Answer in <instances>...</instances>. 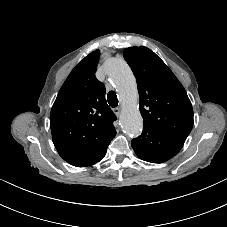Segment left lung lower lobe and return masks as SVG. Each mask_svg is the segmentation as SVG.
Listing matches in <instances>:
<instances>
[{"instance_id": "0a47b994", "label": "left lung lower lobe", "mask_w": 227, "mask_h": 227, "mask_svg": "<svg viewBox=\"0 0 227 227\" xmlns=\"http://www.w3.org/2000/svg\"><path fill=\"white\" fill-rule=\"evenodd\" d=\"M184 142L156 129L144 127L140 136L131 145L136 155L145 161L162 163L174 157Z\"/></svg>"}]
</instances>
